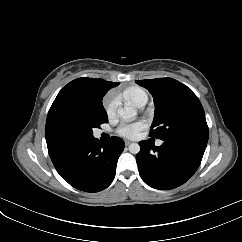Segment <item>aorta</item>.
<instances>
[{
  "label": "aorta",
  "instance_id": "obj_1",
  "mask_svg": "<svg viewBox=\"0 0 242 242\" xmlns=\"http://www.w3.org/2000/svg\"><path fill=\"white\" fill-rule=\"evenodd\" d=\"M118 113L123 120H128L130 118L135 117L137 114V111L132 106H125L119 109ZM129 152L132 154H138L140 152V145L138 143H131L129 145Z\"/></svg>",
  "mask_w": 242,
  "mask_h": 242
}]
</instances>
